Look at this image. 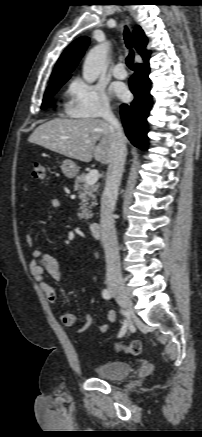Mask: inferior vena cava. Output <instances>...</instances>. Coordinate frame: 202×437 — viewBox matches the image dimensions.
<instances>
[{
  "mask_svg": "<svg viewBox=\"0 0 202 437\" xmlns=\"http://www.w3.org/2000/svg\"><path fill=\"white\" fill-rule=\"evenodd\" d=\"M102 117L112 129L113 157L107 168L106 183L101 198V241L105 251L106 280L109 283H119L122 281V274L113 212L127 151L122 127L111 109H106Z\"/></svg>",
  "mask_w": 202,
  "mask_h": 437,
  "instance_id": "1",
  "label": "inferior vena cava"
}]
</instances>
